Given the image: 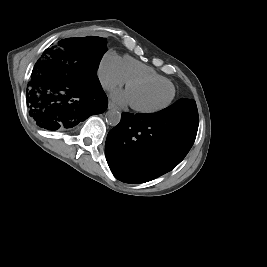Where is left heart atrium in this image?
I'll return each instance as SVG.
<instances>
[{
  "label": "left heart atrium",
  "instance_id": "1",
  "mask_svg": "<svg viewBox=\"0 0 267 267\" xmlns=\"http://www.w3.org/2000/svg\"><path fill=\"white\" fill-rule=\"evenodd\" d=\"M111 98L120 105L130 102L128 91H115L112 93Z\"/></svg>",
  "mask_w": 267,
  "mask_h": 267
}]
</instances>
